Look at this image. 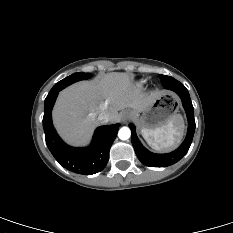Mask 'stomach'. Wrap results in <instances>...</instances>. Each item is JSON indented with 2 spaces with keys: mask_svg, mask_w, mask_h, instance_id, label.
<instances>
[{
  "mask_svg": "<svg viewBox=\"0 0 233 233\" xmlns=\"http://www.w3.org/2000/svg\"><path fill=\"white\" fill-rule=\"evenodd\" d=\"M181 96L174 89L161 90L140 112L131 110V118L140 129H155L167 124L181 107Z\"/></svg>",
  "mask_w": 233,
  "mask_h": 233,
  "instance_id": "1",
  "label": "stomach"
}]
</instances>
